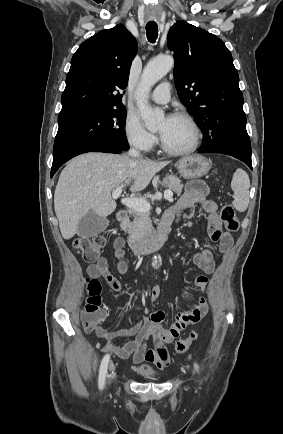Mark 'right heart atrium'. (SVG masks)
<instances>
[{
  "instance_id": "right-heart-atrium-1",
  "label": "right heart atrium",
  "mask_w": 283,
  "mask_h": 434,
  "mask_svg": "<svg viewBox=\"0 0 283 434\" xmlns=\"http://www.w3.org/2000/svg\"><path fill=\"white\" fill-rule=\"evenodd\" d=\"M124 134L129 145L142 152L150 151L157 142L156 137L147 131L140 119L127 114L124 121Z\"/></svg>"
}]
</instances>
